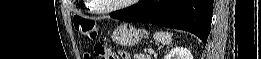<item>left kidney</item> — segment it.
<instances>
[{
  "label": "left kidney",
  "mask_w": 261,
  "mask_h": 59,
  "mask_svg": "<svg viewBox=\"0 0 261 59\" xmlns=\"http://www.w3.org/2000/svg\"><path fill=\"white\" fill-rule=\"evenodd\" d=\"M164 59H193V56L187 48L176 46L165 55Z\"/></svg>",
  "instance_id": "left-kidney-1"
}]
</instances>
